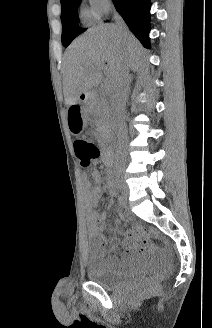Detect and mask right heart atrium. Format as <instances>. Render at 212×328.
<instances>
[{"mask_svg":"<svg viewBox=\"0 0 212 328\" xmlns=\"http://www.w3.org/2000/svg\"><path fill=\"white\" fill-rule=\"evenodd\" d=\"M89 9L85 12L87 19L101 20L111 9V0H88Z\"/></svg>","mask_w":212,"mask_h":328,"instance_id":"right-heart-atrium-1","label":"right heart atrium"}]
</instances>
